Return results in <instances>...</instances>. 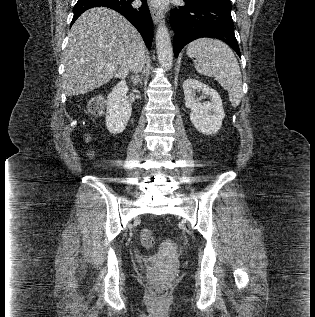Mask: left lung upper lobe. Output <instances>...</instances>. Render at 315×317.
I'll list each match as a JSON object with an SVG mask.
<instances>
[{
  "label": "left lung upper lobe",
  "mask_w": 315,
  "mask_h": 317,
  "mask_svg": "<svg viewBox=\"0 0 315 317\" xmlns=\"http://www.w3.org/2000/svg\"><path fill=\"white\" fill-rule=\"evenodd\" d=\"M216 1L223 4H231L230 0H216Z\"/></svg>",
  "instance_id": "1"
}]
</instances>
